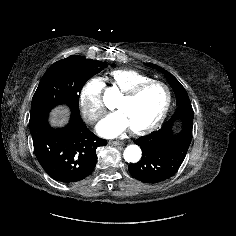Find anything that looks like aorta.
<instances>
[{
  "label": "aorta",
  "mask_w": 236,
  "mask_h": 236,
  "mask_svg": "<svg viewBox=\"0 0 236 236\" xmlns=\"http://www.w3.org/2000/svg\"><path fill=\"white\" fill-rule=\"evenodd\" d=\"M141 154L140 147L132 144L126 147L123 156L128 163H136L140 160Z\"/></svg>",
  "instance_id": "762f6f07"
}]
</instances>
